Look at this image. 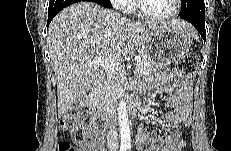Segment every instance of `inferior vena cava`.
<instances>
[{"label": "inferior vena cava", "mask_w": 231, "mask_h": 151, "mask_svg": "<svg viewBox=\"0 0 231 151\" xmlns=\"http://www.w3.org/2000/svg\"><path fill=\"white\" fill-rule=\"evenodd\" d=\"M106 126H107V142L108 145L113 146L114 148L118 147V134H117V128H116V119L111 114L106 120Z\"/></svg>", "instance_id": "1"}]
</instances>
